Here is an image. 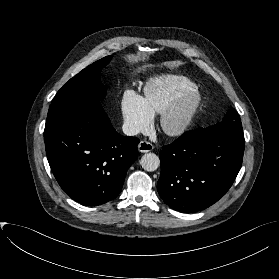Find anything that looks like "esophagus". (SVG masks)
Returning a JSON list of instances; mask_svg holds the SVG:
<instances>
[{
    "label": "esophagus",
    "instance_id": "1",
    "mask_svg": "<svg viewBox=\"0 0 279 279\" xmlns=\"http://www.w3.org/2000/svg\"><path fill=\"white\" fill-rule=\"evenodd\" d=\"M153 149V145L148 141H141L138 145V150L142 153L150 152Z\"/></svg>",
    "mask_w": 279,
    "mask_h": 279
}]
</instances>
